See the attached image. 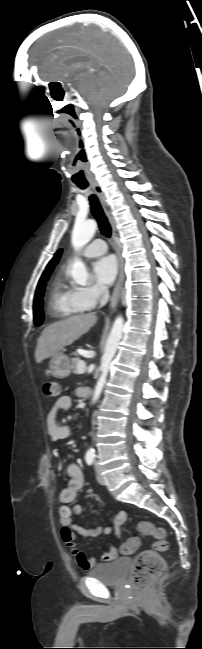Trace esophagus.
<instances>
[{
	"instance_id": "1",
	"label": "esophagus",
	"mask_w": 202,
	"mask_h": 649,
	"mask_svg": "<svg viewBox=\"0 0 202 649\" xmlns=\"http://www.w3.org/2000/svg\"><path fill=\"white\" fill-rule=\"evenodd\" d=\"M90 186L92 187V189L97 194V196L99 197L100 201L103 204V207L105 209V213H106V215L108 217V220H109V222L111 224V227H112L113 238H115L116 237L115 221H114V218L112 217L111 213L105 207V195H104V193L102 191V188L96 181L90 182ZM117 258H118V265H119V275H118V280H117V283H116V285L114 287L113 294H112V297H111L110 309L114 308L116 306L118 300H119V297H120V294H121V291H122V286H123V279H124L123 260H122V257H121V254H120V251H119L118 248H117Z\"/></svg>"
}]
</instances>
